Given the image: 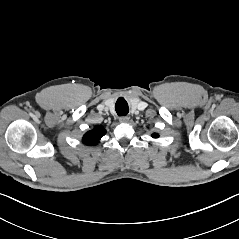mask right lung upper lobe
I'll return each mask as SVG.
<instances>
[{
  "mask_svg": "<svg viewBox=\"0 0 239 239\" xmlns=\"http://www.w3.org/2000/svg\"><path fill=\"white\" fill-rule=\"evenodd\" d=\"M106 130L100 126H95L93 130L87 132L83 136V143L86 145H96L99 143V140L102 136H104Z\"/></svg>",
  "mask_w": 239,
  "mask_h": 239,
  "instance_id": "right-lung-upper-lobe-1",
  "label": "right lung upper lobe"
}]
</instances>
